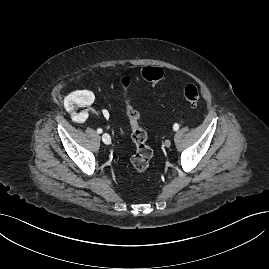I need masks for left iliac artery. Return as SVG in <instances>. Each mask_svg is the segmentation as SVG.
<instances>
[{
  "instance_id": "obj_1",
  "label": "left iliac artery",
  "mask_w": 269,
  "mask_h": 269,
  "mask_svg": "<svg viewBox=\"0 0 269 269\" xmlns=\"http://www.w3.org/2000/svg\"><path fill=\"white\" fill-rule=\"evenodd\" d=\"M173 129H174V131H177V130L179 129V125H178L177 123H175V124L173 125Z\"/></svg>"
}]
</instances>
